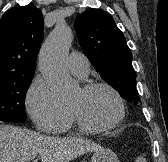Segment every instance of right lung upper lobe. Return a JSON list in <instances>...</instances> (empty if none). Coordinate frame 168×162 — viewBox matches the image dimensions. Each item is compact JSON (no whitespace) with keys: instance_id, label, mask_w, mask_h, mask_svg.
<instances>
[{"instance_id":"obj_1","label":"right lung upper lobe","mask_w":168,"mask_h":162,"mask_svg":"<svg viewBox=\"0 0 168 162\" xmlns=\"http://www.w3.org/2000/svg\"><path fill=\"white\" fill-rule=\"evenodd\" d=\"M43 39V16L33 5L18 6L0 20V80L35 72Z\"/></svg>"}]
</instances>
